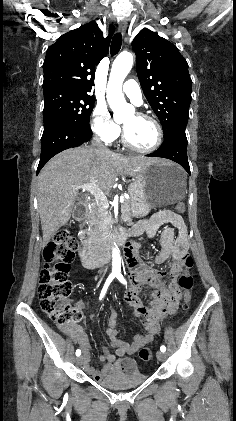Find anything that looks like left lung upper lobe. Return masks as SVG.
<instances>
[{"label":"left lung upper lobe","instance_id":"1","mask_svg":"<svg viewBox=\"0 0 236 421\" xmlns=\"http://www.w3.org/2000/svg\"><path fill=\"white\" fill-rule=\"evenodd\" d=\"M132 47L143 93L164 134L178 124H187L192 80L185 58L174 44L147 28L136 35Z\"/></svg>","mask_w":236,"mask_h":421}]
</instances>
